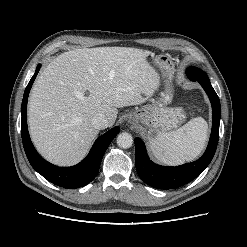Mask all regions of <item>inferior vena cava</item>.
I'll return each mask as SVG.
<instances>
[{
    "label": "inferior vena cava",
    "mask_w": 247,
    "mask_h": 247,
    "mask_svg": "<svg viewBox=\"0 0 247 247\" xmlns=\"http://www.w3.org/2000/svg\"><path fill=\"white\" fill-rule=\"evenodd\" d=\"M91 124L98 130L105 129L109 126L108 119L105 115L97 114L92 118Z\"/></svg>",
    "instance_id": "602c4592"
}]
</instances>
